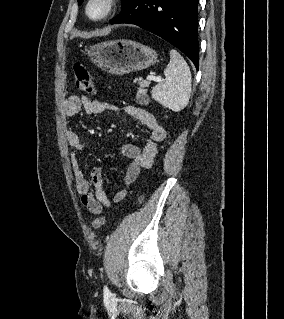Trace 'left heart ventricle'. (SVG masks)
<instances>
[{"label":"left heart ventricle","mask_w":284,"mask_h":319,"mask_svg":"<svg viewBox=\"0 0 284 319\" xmlns=\"http://www.w3.org/2000/svg\"><path fill=\"white\" fill-rule=\"evenodd\" d=\"M105 9V4L103 0H96L91 6H90V14L94 17L100 16Z\"/></svg>","instance_id":"obj_1"}]
</instances>
